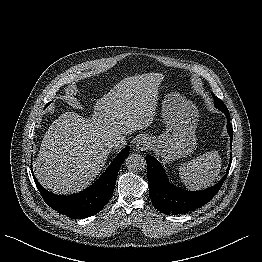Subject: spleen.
Wrapping results in <instances>:
<instances>
[{"label": "spleen", "instance_id": "spleen-1", "mask_svg": "<svg viewBox=\"0 0 262 262\" xmlns=\"http://www.w3.org/2000/svg\"><path fill=\"white\" fill-rule=\"evenodd\" d=\"M221 168V157L217 151H209L179 168L180 179L191 189H201L214 182Z\"/></svg>", "mask_w": 262, "mask_h": 262}]
</instances>
